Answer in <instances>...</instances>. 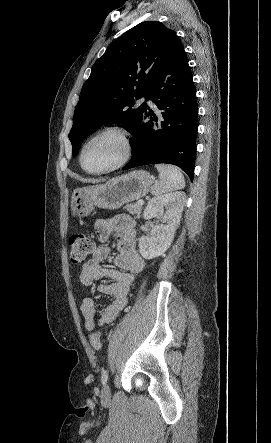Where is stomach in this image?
Wrapping results in <instances>:
<instances>
[{
    "instance_id": "0dacf381",
    "label": "stomach",
    "mask_w": 271,
    "mask_h": 443,
    "mask_svg": "<svg viewBox=\"0 0 271 443\" xmlns=\"http://www.w3.org/2000/svg\"><path fill=\"white\" fill-rule=\"evenodd\" d=\"M153 180L149 172L135 170L121 178H113L107 184L88 186L73 190L70 202L72 216L84 218L92 212L93 208L104 210H117L123 204L139 200L148 194Z\"/></svg>"
}]
</instances>
